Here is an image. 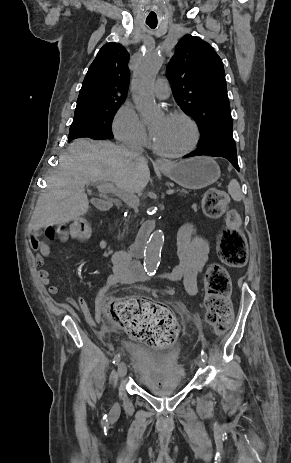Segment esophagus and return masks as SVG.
I'll use <instances>...</instances> for the list:
<instances>
[{
	"instance_id": "1",
	"label": "esophagus",
	"mask_w": 291,
	"mask_h": 463,
	"mask_svg": "<svg viewBox=\"0 0 291 463\" xmlns=\"http://www.w3.org/2000/svg\"><path fill=\"white\" fill-rule=\"evenodd\" d=\"M156 164L158 165H165L166 164V161L162 160V159H157L156 160Z\"/></svg>"
}]
</instances>
